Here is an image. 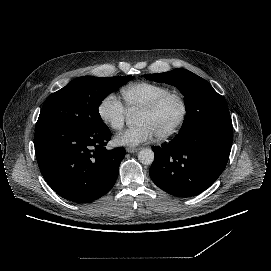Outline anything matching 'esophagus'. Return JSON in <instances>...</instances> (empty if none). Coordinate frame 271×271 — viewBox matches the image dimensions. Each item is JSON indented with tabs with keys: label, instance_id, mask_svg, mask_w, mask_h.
Returning a JSON list of instances; mask_svg holds the SVG:
<instances>
[{
	"label": "esophagus",
	"instance_id": "34e87169",
	"mask_svg": "<svg viewBox=\"0 0 271 271\" xmlns=\"http://www.w3.org/2000/svg\"><path fill=\"white\" fill-rule=\"evenodd\" d=\"M140 149L139 148H132V147H127L126 148V151L128 153H135V152H138Z\"/></svg>",
	"mask_w": 271,
	"mask_h": 271
}]
</instances>
